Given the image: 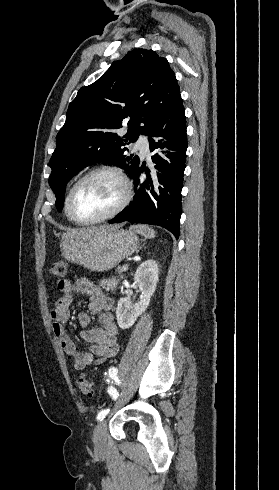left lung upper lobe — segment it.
I'll return each mask as SVG.
<instances>
[{
  "label": "left lung upper lobe",
  "instance_id": "obj_1",
  "mask_svg": "<svg viewBox=\"0 0 279 490\" xmlns=\"http://www.w3.org/2000/svg\"><path fill=\"white\" fill-rule=\"evenodd\" d=\"M180 97L166 58L146 49L129 51L96 82L82 87L69 105L50 159L49 184L58 211L66 184L88 165L103 161L124 168L131 177L140 161L138 156H127L124 146L147 135ZM123 120L129 129L119 136Z\"/></svg>",
  "mask_w": 279,
  "mask_h": 490
}]
</instances>
